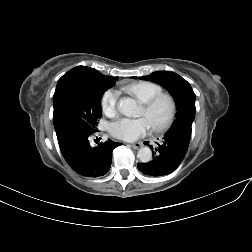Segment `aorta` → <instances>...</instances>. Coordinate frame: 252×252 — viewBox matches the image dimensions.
<instances>
[{
	"mask_svg": "<svg viewBox=\"0 0 252 252\" xmlns=\"http://www.w3.org/2000/svg\"><path fill=\"white\" fill-rule=\"evenodd\" d=\"M119 110L127 117H136L138 114L136 101L129 97L120 100ZM137 157L141 162L147 163L152 160V151L149 147H142L138 150Z\"/></svg>",
	"mask_w": 252,
	"mask_h": 252,
	"instance_id": "1",
	"label": "aorta"
}]
</instances>
